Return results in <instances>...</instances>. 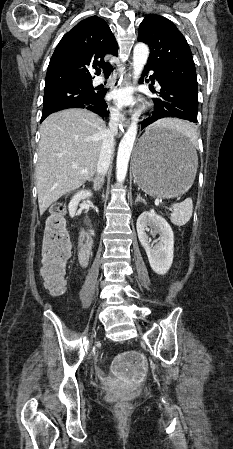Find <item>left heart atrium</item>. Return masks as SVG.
I'll use <instances>...</instances> for the list:
<instances>
[{"label":"left heart atrium","instance_id":"left-heart-atrium-1","mask_svg":"<svg viewBox=\"0 0 233 449\" xmlns=\"http://www.w3.org/2000/svg\"><path fill=\"white\" fill-rule=\"evenodd\" d=\"M111 97L119 104V105H129L133 102L132 91L130 88H119L115 89L111 93Z\"/></svg>","mask_w":233,"mask_h":449}]
</instances>
